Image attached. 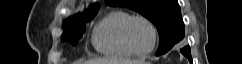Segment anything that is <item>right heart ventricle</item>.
Wrapping results in <instances>:
<instances>
[{
  "label": "right heart ventricle",
  "instance_id": "obj_1",
  "mask_svg": "<svg viewBox=\"0 0 242 64\" xmlns=\"http://www.w3.org/2000/svg\"><path fill=\"white\" fill-rule=\"evenodd\" d=\"M131 15L116 10L107 14L94 28L92 43L101 54L113 58H129L133 54L122 39V30Z\"/></svg>",
  "mask_w": 242,
  "mask_h": 64
}]
</instances>
